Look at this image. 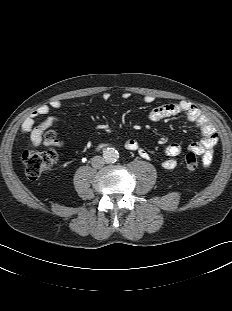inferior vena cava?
Listing matches in <instances>:
<instances>
[{
	"label": "inferior vena cava",
	"instance_id": "1",
	"mask_svg": "<svg viewBox=\"0 0 232 311\" xmlns=\"http://www.w3.org/2000/svg\"><path fill=\"white\" fill-rule=\"evenodd\" d=\"M104 164H105V161H104L103 157H101V156H95L91 160L92 167L96 168V169L103 167Z\"/></svg>",
	"mask_w": 232,
	"mask_h": 311
}]
</instances>
